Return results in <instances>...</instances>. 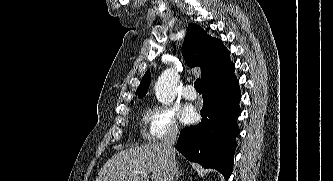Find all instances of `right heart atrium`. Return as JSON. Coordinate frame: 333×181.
I'll return each instance as SVG.
<instances>
[{"instance_id":"d8ad5b80","label":"right heart atrium","mask_w":333,"mask_h":181,"mask_svg":"<svg viewBox=\"0 0 333 181\" xmlns=\"http://www.w3.org/2000/svg\"><path fill=\"white\" fill-rule=\"evenodd\" d=\"M147 119L149 135L152 139H161L179 132L177 111L173 107L156 105Z\"/></svg>"}]
</instances>
